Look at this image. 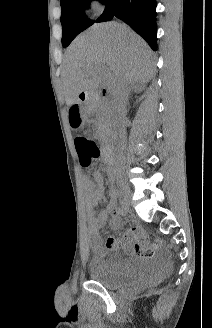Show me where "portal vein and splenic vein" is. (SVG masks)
<instances>
[{
  "mask_svg": "<svg viewBox=\"0 0 212 328\" xmlns=\"http://www.w3.org/2000/svg\"><path fill=\"white\" fill-rule=\"evenodd\" d=\"M102 70H105V71H106L107 69H106L105 66H102V67H100V71H102ZM107 75H108V73H107ZM107 75H106V76H107Z\"/></svg>",
  "mask_w": 212,
  "mask_h": 328,
  "instance_id": "portal-vein-and-splenic-vein-1",
  "label": "portal vein and splenic vein"
}]
</instances>
